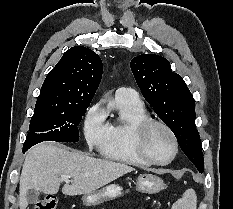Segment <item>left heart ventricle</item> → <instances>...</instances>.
I'll list each match as a JSON object with an SVG mask.
<instances>
[{
  "label": "left heart ventricle",
  "mask_w": 233,
  "mask_h": 209,
  "mask_svg": "<svg viewBox=\"0 0 233 209\" xmlns=\"http://www.w3.org/2000/svg\"><path fill=\"white\" fill-rule=\"evenodd\" d=\"M146 149L153 159L164 162L173 154V142L164 129L153 126L147 136Z\"/></svg>",
  "instance_id": "obj_1"
}]
</instances>
